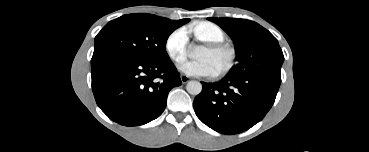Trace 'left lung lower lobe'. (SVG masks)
Instances as JSON below:
<instances>
[{"instance_id":"left-lung-lower-lobe-1","label":"left lung lower lobe","mask_w":369,"mask_h":152,"mask_svg":"<svg viewBox=\"0 0 369 152\" xmlns=\"http://www.w3.org/2000/svg\"><path fill=\"white\" fill-rule=\"evenodd\" d=\"M193 105L197 117L213 130L227 135L248 130L272 107L281 78L270 75L228 74L205 83Z\"/></svg>"}]
</instances>
